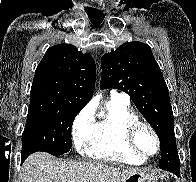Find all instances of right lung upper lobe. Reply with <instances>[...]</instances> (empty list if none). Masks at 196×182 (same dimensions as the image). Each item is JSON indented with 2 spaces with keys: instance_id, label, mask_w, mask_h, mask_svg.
Listing matches in <instances>:
<instances>
[{
  "instance_id": "cb5924a9",
  "label": "right lung upper lobe",
  "mask_w": 196,
  "mask_h": 182,
  "mask_svg": "<svg viewBox=\"0 0 196 182\" xmlns=\"http://www.w3.org/2000/svg\"><path fill=\"white\" fill-rule=\"evenodd\" d=\"M96 66L90 54L71 44L50 47L37 66L29 109L73 107L81 110L92 98Z\"/></svg>"
}]
</instances>
